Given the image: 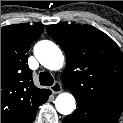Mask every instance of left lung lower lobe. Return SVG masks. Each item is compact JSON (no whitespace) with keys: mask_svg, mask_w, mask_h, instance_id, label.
Masks as SVG:
<instances>
[{"mask_svg":"<svg viewBox=\"0 0 123 123\" xmlns=\"http://www.w3.org/2000/svg\"><path fill=\"white\" fill-rule=\"evenodd\" d=\"M77 101V109L65 117L63 123H117L121 112L103 105L83 100Z\"/></svg>","mask_w":123,"mask_h":123,"instance_id":"1","label":"left lung lower lobe"}]
</instances>
